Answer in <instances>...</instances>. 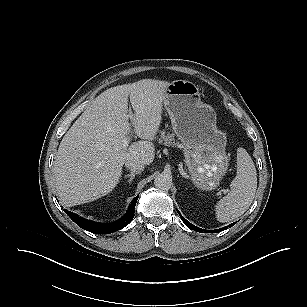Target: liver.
Segmentation results:
<instances>
[{"instance_id":"1","label":"liver","mask_w":307,"mask_h":307,"mask_svg":"<svg viewBox=\"0 0 307 307\" xmlns=\"http://www.w3.org/2000/svg\"><path fill=\"white\" fill-rule=\"evenodd\" d=\"M169 82L143 79L101 93L75 121L60 142L53 165L56 191L67 207L88 203L116 187L127 159L149 165L162 120ZM134 110L133 127L142 140L127 149L122 140L131 133L128 98Z\"/></svg>"}]
</instances>
